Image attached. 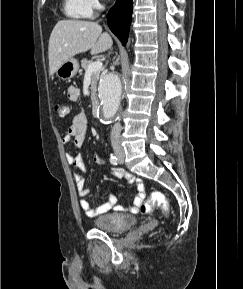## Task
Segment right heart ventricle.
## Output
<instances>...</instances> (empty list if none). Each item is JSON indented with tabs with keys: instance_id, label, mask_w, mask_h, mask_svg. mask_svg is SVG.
I'll use <instances>...</instances> for the list:
<instances>
[{
	"instance_id": "e07e8e85",
	"label": "right heart ventricle",
	"mask_w": 243,
	"mask_h": 289,
	"mask_svg": "<svg viewBox=\"0 0 243 289\" xmlns=\"http://www.w3.org/2000/svg\"><path fill=\"white\" fill-rule=\"evenodd\" d=\"M63 11L68 17L74 19H82L89 16L80 0H64Z\"/></svg>"
}]
</instances>
